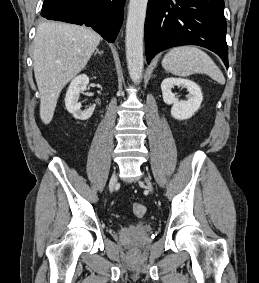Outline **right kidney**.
Instances as JSON below:
<instances>
[{"label": "right kidney", "instance_id": "obj_1", "mask_svg": "<svg viewBox=\"0 0 259 283\" xmlns=\"http://www.w3.org/2000/svg\"><path fill=\"white\" fill-rule=\"evenodd\" d=\"M88 83V76L82 74L75 77L68 87L65 97V106L67 111L71 113L75 119L88 120L94 112L95 105H92L87 110H81V104L78 102L80 93L86 90Z\"/></svg>", "mask_w": 259, "mask_h": 283}]
</instances>
